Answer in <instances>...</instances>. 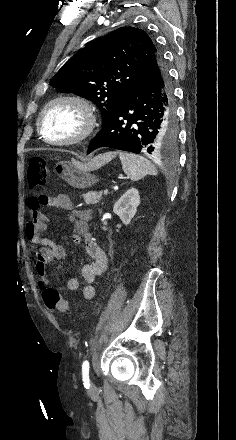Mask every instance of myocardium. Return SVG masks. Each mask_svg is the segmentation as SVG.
Instances as JSON below:
<instances>
[{
	"mask_svg": "<svg viewBox=\"0 0 236 440\" xmlns=\"http://www.w3.org/2000/svg\"><path fill=\"white\" fill-rule=\"evenodd\" d=\"M66 104L73 107L81 116L80 131L69 139H49L45 136L44 117L55 105ZM98 117L94 105L85 97L76 94H60L49 100L38 115L37 125L42 139L57 146H72L84 142L92 136L97 126Z\"/></svg>",
	"mask_w": 236,
	"mask_h": 440,
	"instance_id": "myocardium-1",
	"label": "myocardium"
}]
</instances>
